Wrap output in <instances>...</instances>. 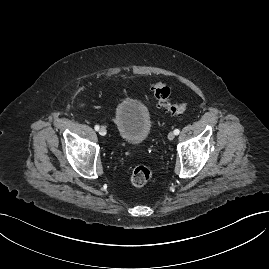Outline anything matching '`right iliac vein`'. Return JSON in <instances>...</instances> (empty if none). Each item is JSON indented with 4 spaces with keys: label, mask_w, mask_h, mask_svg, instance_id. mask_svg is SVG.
Here are the masks:
<instances>
[{
    "label": "right iliac vein",
    "mask_w": 269,
    "mask_h": 269,
    "mask_svg": "<svg viewBox=\"0 0 269 269\" xmlns=\"http://www.w3.org/2000/svg\"><path fill=\"white\" fill-rule=\"evenodd\" d=\"M106 133H107L106 128L102 126V127L99 129V134H100L101 136H105Z\"/></svg>",
    "instance_id": "1"
}]
</instances>
